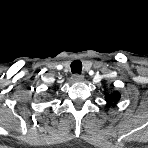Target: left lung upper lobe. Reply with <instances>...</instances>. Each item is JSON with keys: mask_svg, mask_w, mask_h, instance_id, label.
<instances>
[{"mask_svg": "<svg viewBox=\"0 0 148 148\" xmlns=\"http://www.w3.org/2000/svg\"><path fill=\"white\" fill-rule=\"evenodd\" d=\"M105 99L107 101V106H113L120 100V93L114 91L111 94H106Z\"/></svg>", "mask_w": 148, "mask_h": 148, "instance_id": "5c2ea615", "label": "left lung upper lobe"}]
</instances>
